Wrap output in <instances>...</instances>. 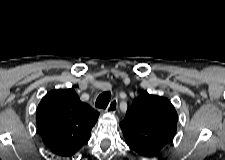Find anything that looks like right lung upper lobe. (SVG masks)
Masks as SVG:
<instances>
[{
	"label": "right lung upper lobe",
	"instance_id": "obj_1",
	"mask_svg": "<svg viewBox=\"0 0 225 160\" xmlns=\"http://www.w3.org/2000/svg\"><path fill=\"white\" fill-rule=\"evenodd\" d=\"M98 116L73 89H58L48 92L38 105L37 125L46 147L71 157L87 144Z\"/></svg>",
	"mask_w": 225,
	"mask_h": 160
}]
</instances>
